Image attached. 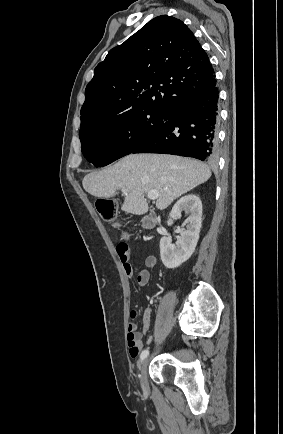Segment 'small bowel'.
<instances>
[{"mask_svg":"<svg viewBox=\"0 0 283 434\" xmlns=\"http://www.w3.org/2000/svg\"><path fill=\"white\" fill-rule=\"evenodd\" d=\"M116 251L119 256V259L122 262L123 269L125 274L131 278L134 274V268L131 264V253L127 244L118 243L116 246ZM157 264V259L155 256L150 255L146 257L144 261V268L139 272L136 278V283L138 286L143 287L147 285L150 279L149 270L154 268ZM151 310L147 309L142 316V329L138 330L137 325L134 322H130L128 325L127 332V344L129 349V355L132 358H136L142 349L141 339L144 335H146L151 326Z\"/></svg>","mask_w":283,"mask_h":434,"instance_id":"c3829d8e","label":"small bowel"}]
</instances>
